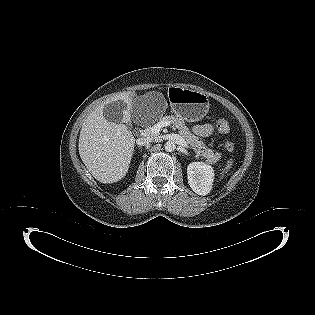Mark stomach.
Segmentation results:
<instances>
[{
  "label": "stomach",
  "instance_id": "obj_1",
  "mask_svg": "<svg viewBox=\"0 0 315 315\" xmlns=\"http://www.w3.org/2000/svg\"><path fill=\"white\" fill-rule=\"evenodd\" d=\"M167 95L172 112L188 122L200 121L209 111V99L203 92L172 86Z\"/></svg>",
  "mask_w": 315,
  "mask_h": 315
}]
</instances>
